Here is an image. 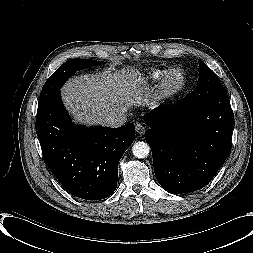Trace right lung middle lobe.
Here are the masks:
<instances>
[{
	"instance_id": "obj_1",
	"label": "right lung middle lobe",
	"mask_w": 253,
	"mask_h": 253,
	"mask_svg": "<svg viewBox=\"0 0 253 253\" xmlns=\"http://www.w3.org/2000/svg\"><path fill=\"white\" fill-rule=\"evenodd\" d=\"M102 61L91 59H71L61 65L57 71L46 81L40 94L38 109L60 91L65 81L77 70L102 64Z\"/></svg>"
}]
</instances>
